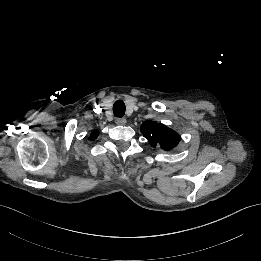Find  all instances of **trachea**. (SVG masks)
<instances>
[{
  "instance_id": "3493384b",
  "label": "trachea",
  "mask_w": 261,
  "mask_h": 261,
  "mask_svg": "<svg viewBox=\"0 0 261 261\" xmlns=\"http://www.w3.org/2000/svg\"><path fill=\"white\" fill-rule=\"evenodd\" d=\"M125 104L122 100H117L113 105V114L116 117H123L125 114Z\"/></svg>"
}]
</instances>
